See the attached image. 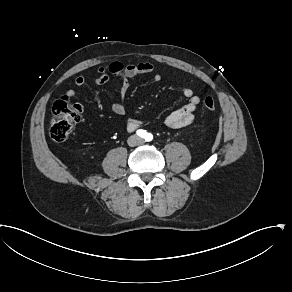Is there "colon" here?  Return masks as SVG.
<instances>
[{"instance_id":"obj_1","label":"colon","mask_w":292,"mask_h":292,"mask_svg":"<svg viewBox=\"0 0 292 292\" xmlns=\"http://www.w3.org/2000/svg\"><path fill=\"white\" fill-rule=\"evenodd\" d=\"M205 110L214 111L216 101L212 96L203 101ZM84 113L83 107L71 101L67 96L59 97L52 108L50 136L56 142H63L75 125L80 123Z\"/></svg>"}]
</instances>
